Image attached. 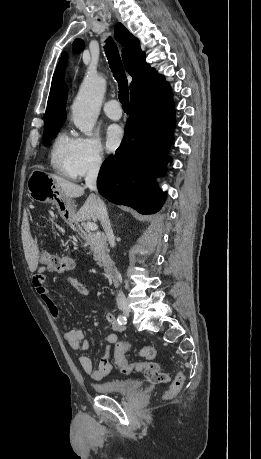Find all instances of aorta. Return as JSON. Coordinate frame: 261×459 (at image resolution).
Instances as JSON below:
<instances>
[{
    "label": "aorta",
    "mask_w": 261,
    "mask_h": 459,
    "mask_svg": "<svg viewBox=\"0 0 261 459\" xmlns=\"http://www.w3.org/2000/svg\"><path fill=\"white\" fill-rule=\"evenodd\" d=\"M106 90V80L96 74H88L72 105V118L75 126L85 135H92L100 113Z\"/></svg>",
    "instance_id": "1"
}]
</instances>
